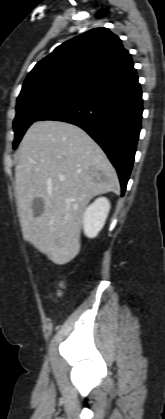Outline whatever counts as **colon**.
<instances>
[{
	"label": "colon",
	"instance_id": "1",
	"mask_svg": "<svg viewBox=\"0 0 165 419\" xmlns=\"http://www.w3.org/2000/svg\"><path fill=\"white\" fill-rule=\"evenodd\" d=\"M63 287H64V285H63V283H62V282H59V283L57 284V295H58V296H60V292H61V290L63 289Z\"/></svg>",
	"mask_w": 165,
	"mask_h": 419
}]
</instances>
